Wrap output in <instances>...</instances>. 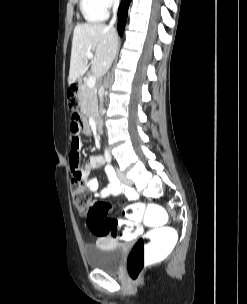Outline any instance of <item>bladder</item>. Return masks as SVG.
<instances>
[{"instance_id":"1","label":"bladder","mask_w":247,"mask_h":304,"mask_svg":"<svg viewBox=\"0 0 247 304\" xmlns=\"http://www.w3.org/2000/svg\"><path fill=\"white\" fill-rule=\"evenodd\" d=\"M126 246L111 240L98 241L85 247V259L92 270L116 272L120 269Z\"/></svg>"}]
</instances>
